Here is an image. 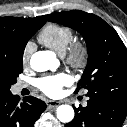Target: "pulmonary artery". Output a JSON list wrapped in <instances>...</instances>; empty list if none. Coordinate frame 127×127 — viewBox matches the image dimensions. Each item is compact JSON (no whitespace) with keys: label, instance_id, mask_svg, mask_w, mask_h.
Wrapping results in <instances>:
<instances>
[{"label":"pulmonary artery","instance_id":"pulmonary-artery-1","mask_svg":"<svg viewBox=\"0 0 127 127\" xmlns=\"http://www.w3.org/2000/svg\"><path fill=\"white\" fill-rule=\"evenodd\" d=\"M27 85L25 84V83H18L17 85H16V90H21V89H23V88H25Z\"/></svg>","mask_w":127,"mask_h":127}]
</instances>
